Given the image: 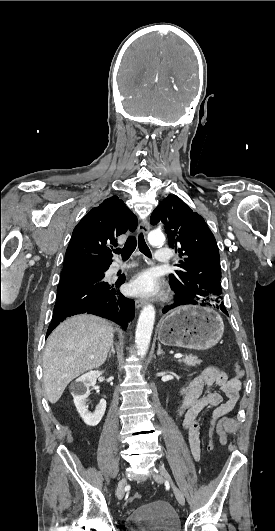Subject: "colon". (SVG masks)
<instances>
[{"label":"colon","instance_id":"5ec220e1","mask_svg":"<svg viewBox=\"0 0 275 531\" xmlns=\"http://www.w3.org/2000/svg\"><path fill=\"white\" fill-rule=\"evenodd\" d=\"M234 371L235 373L237 374L238 377H242L243 376V369L241 367V365L239 363H235L234 364ZM216 428H217V423L215 422V420H212L208 423V426L206 427L205 429V436L207 438H212L216 432ZM212 442H210V446L212 447ZM140 498V494L139 493H136L134 494L131 498H130V501H136Z\"/></svg>","mask_w":275,"mask_h":531}]
</instances>
